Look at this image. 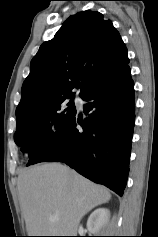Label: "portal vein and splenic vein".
<instances>
[{
    "label": "portal vein and splenic vein",
    "instance_id": "1",
    "mask_svg": "<svg viewBox=\"0 0 158 237\" xmlns=\"http://www.w3.org/2000/svg\"><path fill=\"white\" fill-rule=\"evenodd\" d=\"M50 220L51 221H57L58 220V216H50Z\"/></svg>",
    "mask_w": 158,
    "mask_h": 237
}]
</instances>
